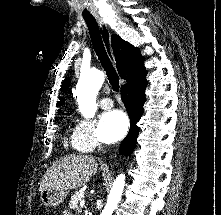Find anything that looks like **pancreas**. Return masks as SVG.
Here are the masks:
<instances>
[{
    "instance_id": "cf45deb5",
    "label": "pancreas",
    "mask_w": 221,
    "mask_h": 215,
    "mask_svg": "<svg viewBox=\"0 0 221 215\" xmlns=\"http://www.w3.org/2000/svg\"><path fill=\"white\" fill-rule=\"evenodd\" d=\"M84 198V192H76L72 197H71V200H70V203H69V206H70V209L72 210H78L79 207H78V204L79 202Z\"/></svg>"
}]
</instances>
